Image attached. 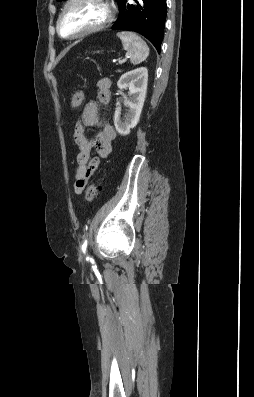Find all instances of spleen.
Masks as SVG:
<instances>
[{"mask_svg":"<svg viewBox=\"0 0 254 397\" xmlns=\"http://www.w3.org/2000/svg\"><path fill=\"white\" fill-rule=\"evenodd\" d=\"M124 49L132 64L137 65L144 61L149 55V47L141 37L130 31L118 32Z\"/></svg>","mask_w":254,"mask_h":397,"instance_id":"1","label":"spleen"}]
</instances>
